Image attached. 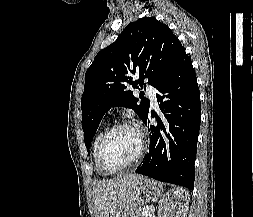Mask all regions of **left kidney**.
I'll return each instance as SVG.
<instances>
[{
  "mask_svg": "<svg viewBox=\"0 0 253 217\" xmlns=\"http://www.w3.org/2000/svg\"><path fill=\"white\" fill-rule=\"evenodd\" d=\"M188 202L189 194L186 190L182 188L169 190L160 200L159 217H184Z\"/></svg>",
  "mask_w": 253,
  "mask_h": 217,
  "instance_id": "5707ae66",
  "label": "left kidney"
}]
</instances>
